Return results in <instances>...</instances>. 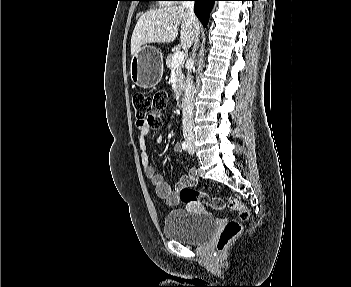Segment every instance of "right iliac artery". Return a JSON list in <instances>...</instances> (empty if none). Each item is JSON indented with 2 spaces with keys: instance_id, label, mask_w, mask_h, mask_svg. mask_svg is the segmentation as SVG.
I'll list each match as a JSON object with an SVG mask.
<instances>
[{
  "instance_id": "obj_1",
  "label": "right iliac artery",
  "mask_w": 351,
  "mask_h": 287,
  "mask_svg": "<svg viewBox=\"0 0 351 287\" xmlns=\"http://www.w3.org/2000/svg\"><path fill=\"white\" fill-rule=\"evenodd\" d=\"M182 148H183V150H187V148H188V145L186 144V142L185 141H183L182 142Z\"/></svg>"
}]
</instances>
